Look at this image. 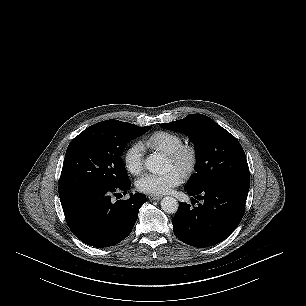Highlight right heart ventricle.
Wrapping results in <instances>:
<instances>
[{"instance_id":"right-heart-ventricle-1","label":"right heart ventricle","mask_w":306,"mask_h":306,"mask_svg":"<svg viewBox=\"0 0 306 306\" xmlns=\"http://www.w3.org/2000/svg\"><path fill=\"white\" fill-rule=\"evenodd\" d=\"M142 144L168 155L183 144V138L174 132L158 131L147 137Z\"/></svg>"}]
</instances>
